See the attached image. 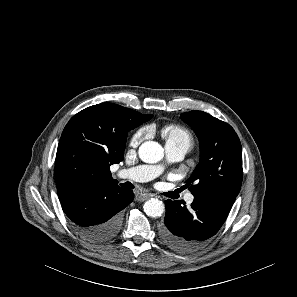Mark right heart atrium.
<instances>
[{
  "label": "right heart atrium",
  "mask_w": 297,
  "mask_h": 297,
  "mask_svg": "<svg viewBox=\"0 0 297 297\" xmlns=\"http://www.w3.org/2000/svg\"><path fill=\"white\" fill-rule=\"evenodd\" d=\"M146 132L147 131L145 129L138 130L131 138V142H130L131 146L137 147L144 139Z\"/></svg>",
  "instance_id": "right-heart-atrium-1"
}]
</instances>
